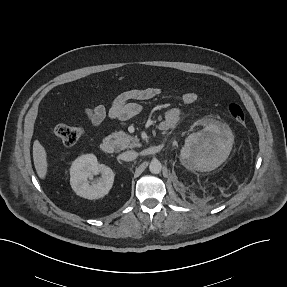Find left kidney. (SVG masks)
Listing matches in <instances>:
<instances>
[{
	"instance_id": "5707ae66",
	"label": "left kidney",
	"mask_w": 287,
	"mask_h": 287,
	"mask_svg": "<svg viewBox=\"0 0 287 287\" xmlns=\"http://www.w3.org/2000/svg\"><path fill=\"white\" fill-rule=\"evenodd\" d=\"M233 135L229 128L209 123L201 133L186 138L181 158L190 169L210 171L220 166L229 156Z\"/></svg>"
}]
</instances>
